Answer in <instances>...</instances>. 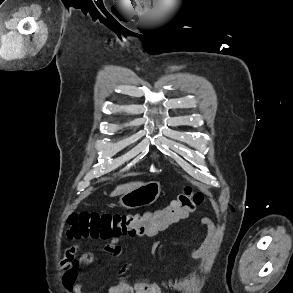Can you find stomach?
Here are the masks:
<instances>
[{
	"label": "stomach",
	"mask_w": 293,
	"mask_h": 293,
	"mask_svg": "<svg viewBox=\"0 0 293 293\" xmlns=\"http://www.w3.org/2000/svg\"><path fill=\"white\" fill-rule=\"evenodd\" d=\"M161 193V185L157 181L148 182L122 194L119 204L127 209H135L153 204Z\"/></svg>",
	"instance_id": "obj_1"
}]
</instances>
